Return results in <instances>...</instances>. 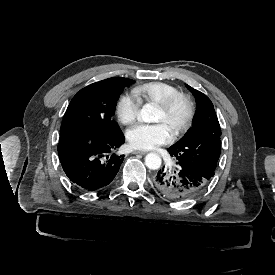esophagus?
Here are the masks:
<instances>
[{
    "label": "esophagus",
    "mask_w": 275,
    "mask_h": 275,
    "mask_svg": "<svg viewBox=\"0 0 275 275\" xmlns=\"http://www.w3.org/2000/svg\"><path fill=\"white\" fill-rule=\"evenodd\" d=\"M147 151H141V150H134L132 154H146Z\"/></svg>",
    "instance_id": "obj_1"
}]
</instances>
